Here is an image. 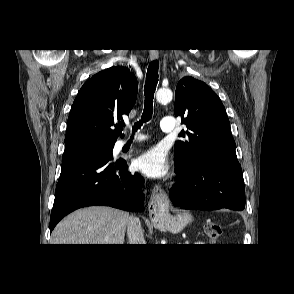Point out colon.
Listing matches in <instances>:
<instances>
[{
    "label": "colon",
    "instance_id": "1",
    "mask_svg": "<svg viewBox=\"0 0 294 294\" xmlns=\"http://www.w3.org/2000/svg\"><path fill=\"white\" fill-rule=\"evenodd\" d=\"M222 232V227L218 223L209 222L205 225V234L211 244H215Z\"/></svg>",
    "mask_w": 294,
    "mask_h": 294
}]
</instances>
